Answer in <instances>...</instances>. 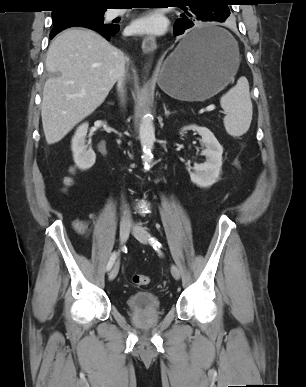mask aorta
Instances as JSON below:
<instances>
[{
	"mask_svg": "<svg viewBox=\"0 0 306 387\" xmlns=\"http://www.w3.org/2000/svg\"><path fill=\"white\" fill-rule=\"evenodd\" d=\"M139 136L142 147V160L146 167L153 161L152 149L155 141V129L153 125V117L150 113L146 112L140 123Z\"/></svg>",
	"mask_w": 306,
	"mask_h": 387,
	"instance_id": "762f6f07",
	"label": "aorta"
}]
</instances>
